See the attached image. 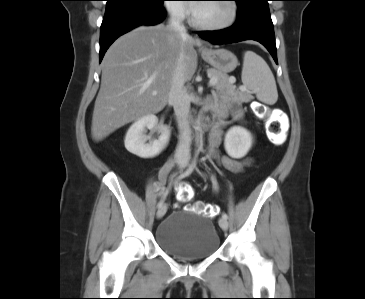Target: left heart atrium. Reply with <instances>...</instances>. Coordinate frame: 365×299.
<instances>
[{"label": "left heart atrium", "mask_w": 365, "mask_h": 299, "mask_svg": "<svg viewBox=\"0 0 365 299\" xmlns=\"http://www.w3.org/2000/svg\"><path fill=\"white\" fill-rule=\"evenodd\" d=\"M196 8H197V4H194L192 7V10L195 11Z\"/></svg>", "instance_id": "39dd6f15"}]
</instances>
